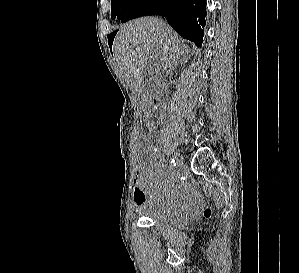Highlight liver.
I'll return each instance as SVG.
<instances>
[{
  "label": "liver",
  "instance_id": "1",
  "mask_svg": "<svg viewBox=\"0 0 299 273\" xmlns=\"http://www.w3.org/2000/svg\"><path fill=\"white\" fill-rule=\"evenodd\" d=\"M189 46L165 22L155 17H142L122 26L114 39V60L129 87L139 97L143 91V70L149 54L159 59L160 70L170 69Z\"/></svg>",
  "mask_w": 299,
  "mask_h": 273
}]
</instances>
